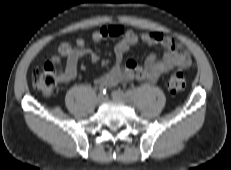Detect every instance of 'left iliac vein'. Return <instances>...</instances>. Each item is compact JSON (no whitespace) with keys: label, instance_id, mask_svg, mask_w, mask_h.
I'll list each match as a JSON object with an SVG mask.
<instances>
[{"label":"left iliac vein","instance_id":"4c4485c4","mask_svg":"<svg viewBox=\"0 0 231 170\" xmlns=\"http://www.w3.org/2000/svg\"><path fill=\"white\" fill-rule=\"evenodd\" d=\"M111 96L115 100H125L127 98V95L124 94L120 90H114V91H112Z\"/></svg>","mask_w":231,"mask_h":170}]
</instances>
